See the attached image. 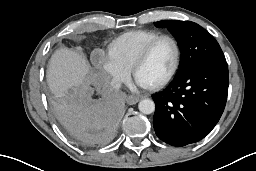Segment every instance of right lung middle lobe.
<instances>
[{"label":"right lung middle lobe","mask_w":256,"mask_h":171,"mask_svg":"<svg viewBox=\"0 0 256 171\" xmlns=\"http://www.w3.org/2000/svg\"><path fill=\"white\" fill-rule=\"evenodd\" d=\"M73 95H75V93L74 94L72 93V97H73ZM70 98H71V96H70Z\"/></svg>","instance_id":"right-lung-middle-lobe-1"}]
</instances>
